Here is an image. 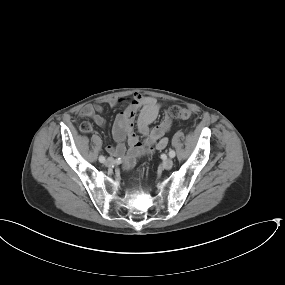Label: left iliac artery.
I'll use <instances>...</instances> for the list:
<instances>
[{
    "mask_svg": "<svg viewBox=\"0 0 285 285\" xmlns=\"http://www.w3.org/2000/svg\"><path fill=\"white\" fill-rule=\"evenodd\" d=\"M169 156L171 157V158H173V157H175V151L174 150H169Z\"/></svg>",
    "mask_w": 285,
    "mask_h": 285,
    "instance_id": "44dca946",
    "label": "left iliac artery"
}]
</instances>
